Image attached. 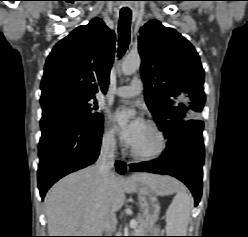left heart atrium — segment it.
Wrapping results in <instances>:
<instances>
[{"instance_id":"39dd6f15","label":"left heart atrium","mask_w":248,"mask_h":237,"mask_svg":"<svg viewBox=\"0 0 248 237\" xmlns=\"http://www.w3.org/2000/svg\"><path fill=\"white\" fill-rule=\"evenodd\" d=\"M126 113L125 108H119L113 114V119L117 121L121 117H123ZM144 120L141 117H136L130 123L120 130L121 136L126 144L129 146H133L136 142L143 129L145 128Z\"/></svg>"}]
</instances>
